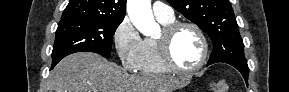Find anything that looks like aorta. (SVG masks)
<instances>
[{
  "label": "aorta",
  "mask_w": 289,
  "mask_h": 92,
  "mask_svg": "<svg viewBox=\"0 0 289 92\" xmlns=\"http://www.w3.org/2000/svg\"><path fill=\"white\" fill-rule=\"evenodd\" d=\"M127 12L133 25L144 35H152L158 25L154 20L150 0H128Z\"/></svg>",
  "instance_id": "762f6f07"
}]
</instances>
